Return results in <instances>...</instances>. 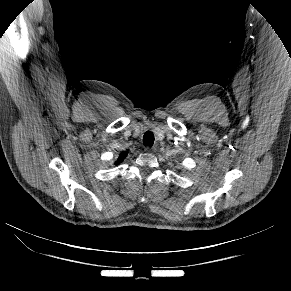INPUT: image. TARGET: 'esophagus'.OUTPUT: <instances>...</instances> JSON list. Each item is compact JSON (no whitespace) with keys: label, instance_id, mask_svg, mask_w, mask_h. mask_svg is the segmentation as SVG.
<instances>
[{"label":"esophagus","instance_id":"34e87169","mask_svg":"<svg viewBox=\"0 0 291 291\" xmlns=\"http://www.w3.org/2000/svg\"><path fill=\"white\" fill-rule=\"evenodd\" d=\"M155 150V148L153 147V148H147V151H149V152H153Z\"/></svg>","mask_w":291,"mask_h":291}]
</instances>
